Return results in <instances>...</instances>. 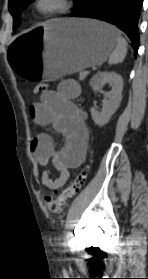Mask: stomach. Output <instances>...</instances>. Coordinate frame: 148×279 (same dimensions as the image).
Here are the masks:
<instances>
[{
  "mask_svg": "<svg viewBox=\"0 0 148 279\" xmlns=\"http://www.w3.org/2000/svg\"><path fill=\"white\" fill-rule=\"evenodd\" d=\"M118 35L104 22L55 19L18 35L9 44L8 60L17 82H55L104 63Z\"/></svg>",
  "mask_w": 148,
  "mask_h": 279,
  "instance_id": "obj_1",
  "label": "stomach"
}]
</instances>
